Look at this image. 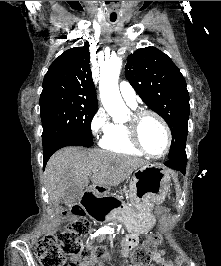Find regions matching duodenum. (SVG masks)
<instances>
[{
    "mask_svg": "<svg viewBox=\"0 0 221 266\" xmlns=\"http://www.w3.org/2000/svg\"><path fill=\"white\" fill-rule=\"evenodd\" d=\"M78 203L81 206H86L85 213L96 219V223H110L112 219V210H117L115 214H121V203L117 199V194L109 191L104 186L90 189H84L83 194H80Z\"/></svg>",
    "mask_w": 221,
    "mask_h": 266,
    "instance_id": "obj_1",
    "label": "duodenum"
}]
</instances>
